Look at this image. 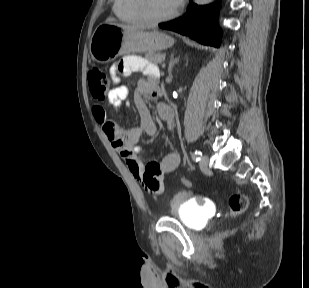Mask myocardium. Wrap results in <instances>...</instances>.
Instances as JSON below:
<instances>
[{
    "label": "myocardium",
    "instance_id": "f54148a6",
    "mask_svg": "<svg viewBox=\"0 0 309 288\" xmlns=\"http://www.w3.org/2000/svg\"><path fill=\"white\" fill-rule=\"evenodd\" d=\"M135 6L141 18L145 22L152 24L170 20L174 18L181 10V4H178L177 7L171 12L165 15L157 16L150 11L149 0H135Z\"/></svg>",
    "mask_w": 309,
    "mask_h": 288
}]
</instances>
